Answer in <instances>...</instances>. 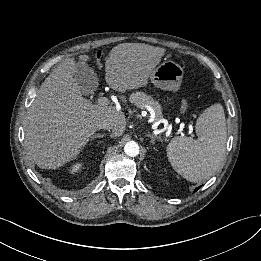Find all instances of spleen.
I'll use <instances>...</instances> for the list:
<instances>
[{"label": "spleen", "mask_w": 261, "mask_h": 261, "mask_svg": "<svg viewBox=\"0 0 261 261\" xmlns=\"http://www.w3.org/2000/svg\"><path fill=\"white\" fill-rule=\"evenodd\" d=\"M197 140L175 137L167 146L172 167L190 182L209 179L224 160L227 129L224 109L214 104L196 122Z\"/></svg>", "instance_id": "obj_1"}]
</instances>
